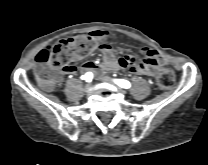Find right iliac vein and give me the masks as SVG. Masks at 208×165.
<instances>
[{
    "mask_svg": "<svg viewBox=\"0 0 208 165\" xmlns=\"http://www.w3.org/2000/svg\"><path fill=\"white\" fill-rule=\"evenodd\" d=\"M91 88H92V84L89 83L85 86V91L89 92L91 90Z\"/></svg>",
    "mask_w": 208,
    "mask_h": 165,
    "instance_id": "right-iliac-vein-1",
    "label": "right iliac vein"
}]
</instances>
